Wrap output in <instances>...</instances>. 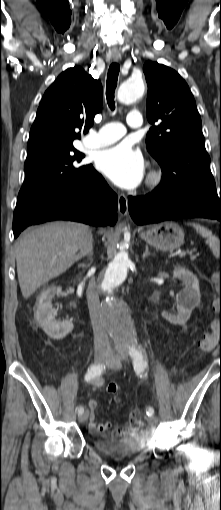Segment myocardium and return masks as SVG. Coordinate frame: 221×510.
Wrapping results in <instances>:
<instances>
[{"mask_svg": "<svg viewBox=\"0 0 221 510\" xmlns=\"http://www.w3.org/2000/svg\"><path fill=\"white\" fill-rule=\"evenodd\" d=\"M162 179L163 175L160 170H152L147 176L146 185L150 189H155L161 184Z\"/></svg>", "mask_w": 221, "mask_h": 510, "instance_id": "f54148a6", "label": "myocardium"}]
</instances>
